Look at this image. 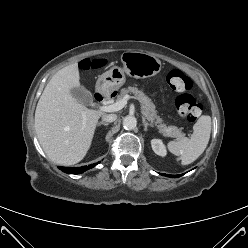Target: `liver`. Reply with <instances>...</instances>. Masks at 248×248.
Here are the masks:
<instances>
[{
  "label": "liver",
  "instance_id": "obj_1",
  "mask_svg": "<svg viewBox=\"0 0 248 248\" xmlns=\"http://www.w3.org/2000/svg\"><path fill=\"white\" fill-rule=\"evenodd\" d=\"M81 87L78 63L59 70L46 85L35 111V131L48 158L62 165L87 154L101 111L87 109L71 93Z\"/></svg>",
  "mask_w": 248,
  "mask_h": 248
}]
</instances>
